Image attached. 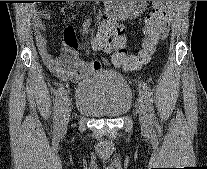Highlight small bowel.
<instances>
[{"mask_svg":"<svg viewBox=\"0 0 207 169\" xmlns=\"http://www.w3.org/2000/svg\"><path fill=\"white\" fill-rule=\"evenodd\" d=\"M72 3L73 1H67ZM143 7V1H104L105 17L100 28L111 30L115 34V44H124L120 21L137 16ZM31 19L35 30V39L39 54L45 66L63 80L76 81L102 68L99 61L82 59L77 54V39L73 27L68 26L64 31V44L58 57L50 54L48 40L45 36V20H52L53 16L47 10L33 11Z\"/></svg>","mask_w":207,"mask_h":169,"instance_id":"obj_1","label":"small bowel"}]
</instances>
